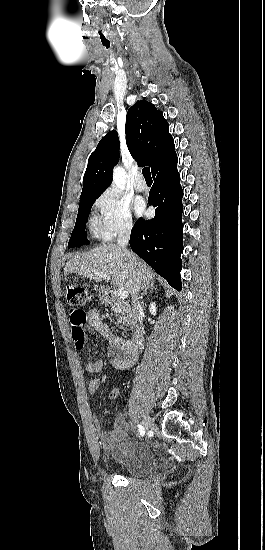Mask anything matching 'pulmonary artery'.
Returning <instances> with one entry per match:
<instances>
[{"label":"pulmonary artery","mask_w":265,"mask_h":550,"mask_svg":"<svg viewBox=\"0 0 265 550\" xmlns=\"http://www.w3.org/2000/svg\"><path fill=\"white\" fill-rule=\"evenodd\" d=\"M141 177V176H140ZM146 182L142 179L136 181L135 183V189L139 192H143L146 190Z\"/></svg>","instance_id":"e3ab8cb5"}]
</instances>
